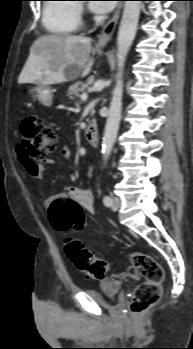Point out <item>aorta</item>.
<instances>
[{
  "instance_id": "1",
  "label": "aorta",
  "mask_w": 193,
  "mask_h": 349,
  "mask_svg": "<svg viewBox=\"0 0 193 349\" xmlns=\"http://www.w3.org/2000/svg\"><path fill=\"white\" fill-rule=\"evenodd\" d=\"M141 3V1H125L124 4L117 36L118 73L116 85L112 91V99L102 141V154L105 160L110 156L119 129L123 96V67L137 31Z\"/></svg>"
}]
</instances>
